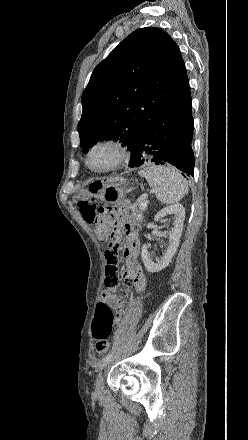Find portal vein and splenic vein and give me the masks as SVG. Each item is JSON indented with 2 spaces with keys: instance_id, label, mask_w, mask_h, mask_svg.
<instances>
[{
  "instance_id": "portal-vein-and-splenic-vein-1",
  "label": "portal vein and splenic vein",
  "mask_w": 248,
  "mask_h": 440,
  "mask_svg": "<svg viewBox=\"0 0 248 440\" xmlns=\"http://www.w3.org/2000/svg\"><path fill=\"white\" fill-rule=\"evenodd\" d=\"M148 201L147 200H143V202L140 204L141 207H145L147 206Z\"/></svg>"
}]
</instances>
